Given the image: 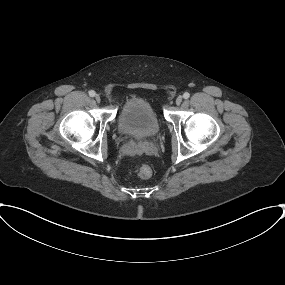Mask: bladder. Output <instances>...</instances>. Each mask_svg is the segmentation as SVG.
Instances as JSON below:
<instances>
[{
    "mask_svg": "<svg viewBox=\"0 0 285 285\" xmlns=\"http://www.w3.org/2000/svg\"><path fill=\"white\" fill-rule=\"evenodd\" d=\"M118 124L123 133L137 138L151 137L159 130V120L151 103L141 96H133L123 104Z\"/></svg>",
    "mask_w": 285,
    "mask_h": 285,
    "instance_id": "bladder-1",
    "label": "bladder"
}]
</instances>
